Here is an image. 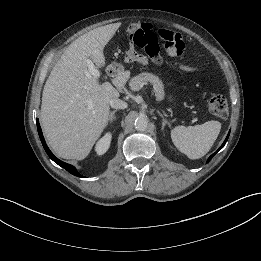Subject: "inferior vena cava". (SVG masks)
<instances>
[{
	"label": "inferior vena cava",
	"instance_id": "602c4592",
	"mask_svg": "<svg viewBox=\"0 0 261 261\" xmlns=\"http://www.w3.org/2000/svg\"><path fill=\"white\" fill-rule=\"evenodd\" d=\"M110 106L115 109H125L127 108V103L117 98L110 100Z\"/></svg>",
	"mask_w": 261,
	"mask_h": 261
}]
</instances>
